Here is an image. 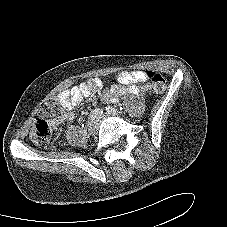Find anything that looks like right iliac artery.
I'll return each mask as SVG.
<instances>
[{
  "mask_svg": "<svg viewBox=\"0 0 227 227\" xmlns=\"http://www.w3.org/2000/svg\"><path fill=\"white\" fill-rule=\"evenodd\" d=\"M102 114H103V109L96 108L90 113L89 119L93 121L95 119H98Z\"/></svg>",
  "mask_w": 227,
  "mask_h": 227,
  "instance_id": "right-iliac-artery-1",
  "label": "right iliac artery"
}]
</instances>
